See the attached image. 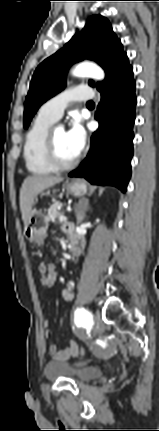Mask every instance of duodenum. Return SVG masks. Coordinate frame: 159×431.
I'll return each instance as SVG.
<instances>
[{"mask_svg": "<svg viewBox=\"0 0 159 431\" xmlns=\"http://www.w3.org/2000/svg\"><path fill=\"white\" fill-rule=\"evenodd\" d=\"M69 237H70V250L73 255H78L83 247V240L76 235V233L73 230L69 231Z\"/></svg>", "mask_w": 159, "mask_h": 431, "instance_id": "410a0bca", "label": "duodenum"}]
</instances>
